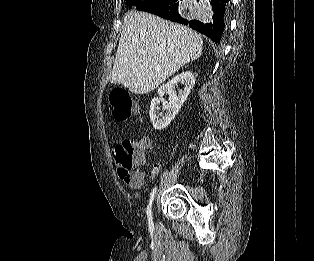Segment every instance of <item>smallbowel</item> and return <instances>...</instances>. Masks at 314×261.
<instances>
[{
  "label": "small bowel",
  "mask_w": 314,
  "mask_h": 261,
  "mask_svg": "<svg viewBox=\"0 0 314 261\" xmlns=\"http://www.w3.org/2000/svg\"><path fill=\"white\" fill-rule=\"evenodd\" d=\"M145 152H146V150L144 151L142 156L139 158V161H138L139 165H144L146 163ZM159 170H160V164L155 163L152 167V170L149 173H142L144 176V179L154 178L158 174Z\"/></svg>",
  "instance_id": "1"
}]
</instances>
